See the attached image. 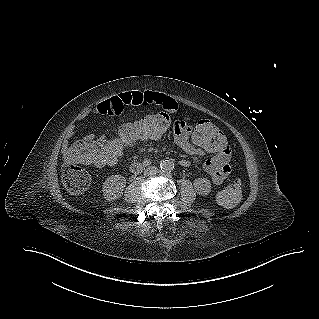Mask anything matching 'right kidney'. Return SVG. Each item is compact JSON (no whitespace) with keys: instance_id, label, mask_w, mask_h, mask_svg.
I'll return each instance as SVG.
<instances>
[{"instance_id":"obj_1","label":"right kidney","mask_w":319,"mask_h":319,"mask_svg":"<svg viewBox=\"0 0 319 319\" xmlns=\"http://www.w3.org/2000/svg\"><path fill=\"white\" fill-rule=\"evenodd\" d=\"M126 186V179L122 175H112L103 183V196L107 201L120 198Z\"/></svg>"}]
</instances>
